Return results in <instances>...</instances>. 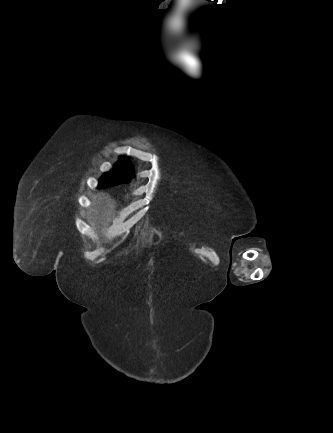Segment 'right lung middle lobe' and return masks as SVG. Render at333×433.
<instances>
[{
  "mask_svg": "<svg viewBox=\"0 0 333 433\" xmlns=\"http://www.w3.org/2000/svg\"><path fill=\"white\" fill-rule=\"evenodd\" d=\"M134 176L132 166L127 160H120L114 169L105 173L99 180V187L129 182Z\"/></svg>",
  "mask_w": 333,
  "mask_h": 433,
  "instance_id": "right-lung-middle-lobe-1",
  "label": "right lung middle lobe"
}]
</instances>
